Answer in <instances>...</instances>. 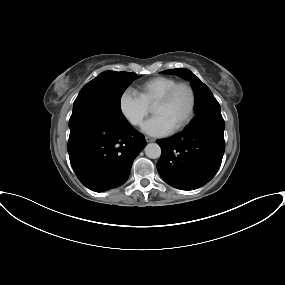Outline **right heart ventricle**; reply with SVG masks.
Returning <instances> with one entry per match:
<instances>
[{
  "mask_svg": "<svg viewBox=\"0 0 285 285\" xmlns=\"http://www.w3.org/2000/svg\"><path fill=\"white\" fill-rule=\"evenodd\" d=\"M177 82L176 78L170 76H157L142 83L138 87L137 93L144 103L151 108Z\"/></svg>",
  "mask_w": 285,
  "mask_h": 285,
  "instance_id": "right-heart-ventricle-1",
  "label": "right heart ventricle"
}]
</instances>
